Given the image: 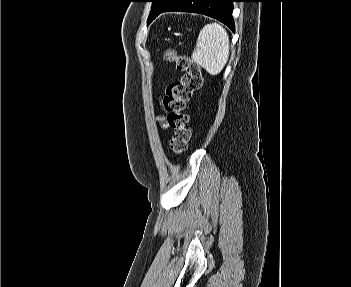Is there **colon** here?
Masks as SVG:
<instances>
[{"mask_svg": "<svg viewBox=\"0 0 351 287\" xmlns=\"http://www.w3.org/2000/svg\"><path fill=\"white\" fill-rule=\"evenodd\" d=\"M165 56L182 73L180 80L167 87L163 101L168 124L173 129L169 148L172 154L178 155L185 152L188 146L190 130L186 107L193 94L202 86V74L200 67L186 55H178L169 50Z\"/></svg>", "mask_w": 351, "mask_h": 287, "instance_id": "colon-1", "label": "colon"}]
</instances>
